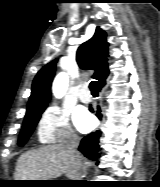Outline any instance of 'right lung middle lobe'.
Instances as JSON below:
<instances>
[{
  "label": "right lung middle lobe",
  "mask_w": 160,
  "mask_h": 187,
  "mask_svg": "<svg viewBox=\"0 0 160 187\" xmlns=\"http://www.w3.org/2000/svg\"><path fill=\"white\" fill-rule=\"evenodd\" d=\"M44 110L27 113L23 122V127L19 136V146H23L31 133L33 132L34 127L40 119V116Z\"/></svg>",
  "instance_id": "1"
}]
</instances>
